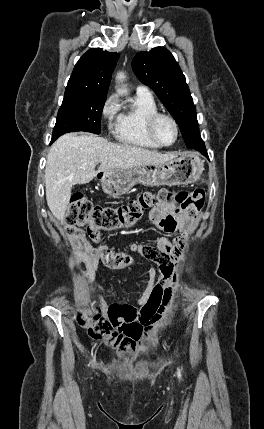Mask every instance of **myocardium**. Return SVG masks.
Here are the masks:
<instances>
[{
  "instance_id": "myocardium-1",
  "label": "myocardium",
  "mask_w": 264,
  "mask_h": 429,
  "mask_svg": "<svg viewBox=\"0 0 264 429\" xmlns=\"http://www.w3.org/2000/svg\"><path fill=\"white\" fill-rule=\"evenodd\" d=\"M160 119H167L174 126V129H175V138L169 144H165V143L161 142L159 140V138L157 137V134H156V125H157V123H158V121ZM146 129H147V133H148V136L150 137V139L155 144H157L159 147H169V146H172V145H174L176 143V141L178 140V137H179V125H178V122H177V120L172 115L167 114V113L157 112V113L153 114L152 116H150V118L147 121Z\"/></svg>"
}]
</instances>
